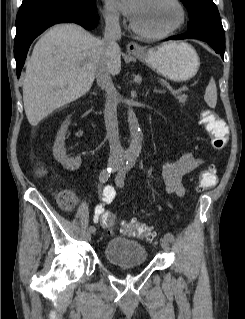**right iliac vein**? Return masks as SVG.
<instances>
[{
    "label": "right iliac vein",
    "mask_w": 245,
    "mask_h": 319,
    "mask_svg": "<svg viewBox=\"0 0 245 319\" xmlns=\"http://www.w3.org/2000/svg\"><path fill=\"white\" fill-rule=\"evenodd\" d=\"M109 166H113L114 167V170L116 169V167H115V165L113 164V163H109ZM91 233L92 232H90L89 230H88V232L86 233V239L87 240H90L91 239Z\"/></svg>",
    "instance_id": "right-iliac-vein-1"
}]
</instances>
